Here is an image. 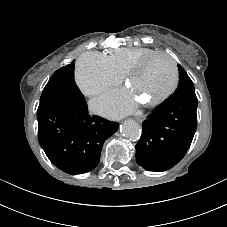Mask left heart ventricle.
<instances>
[{"mask_svg":"<svg viewBox=\"0 0 227 227\" xmlns=\"http://www.w3.org/2000/svg\"><path fill=\"white\" fill-rule=\"evenodd\" d=\"M173 81V67L165 57L152 59L131 79L129 86L140 101H148L163 94Z\"/></svg>","mask_w":227,"mask_h":227,"instance_id":"b2bd125f","label":"left heart ventricle"}]
</instances>
